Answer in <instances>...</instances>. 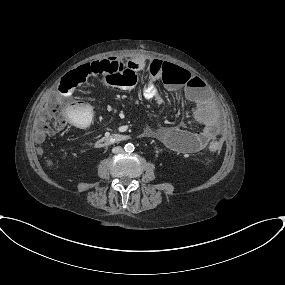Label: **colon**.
<instances>
[{"instance_id": "5ec220e1", "label": "colon", "mask_w": 285, "mask_h": 285, "mask_svg": "<svg viewBox=\"0 0 285 285\" xmlns=\"http://www.w3.org/2000/svg\"><path fill=\"white\" fill-rule=\"evenodd\" d=\"M188 75V71L175 65H164V77L183 78ZM100 78L108 82L111 86L126 91H131L137 85L139 74L119 60H99L86 63L66 74L62 79V93L53 94L45 105L44 113L38 117L34 138L40 141L59 132L67 123L68 114L65 108L67 97L75 95L81 82L89 78ZM91 121L83 119L79 126L85 127ZM221 145L214 141L209 146V151L213 155L220 152Z\"/></svg>"}]
</instances>
